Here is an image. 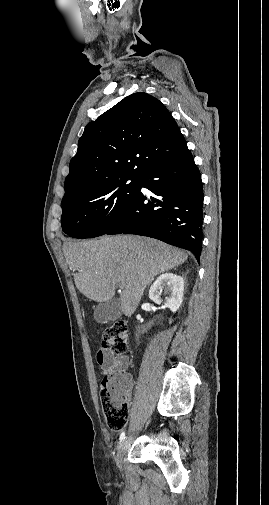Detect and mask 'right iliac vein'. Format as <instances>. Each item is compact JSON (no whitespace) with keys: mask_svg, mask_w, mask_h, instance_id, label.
<instances>
[{"mask_svg":"<svg viewBox=\"0 0 269 505\" xmlns=\"http://www.w3.org/2000/svg\"><path fill=\"white\" fill-rule=\"evenodd\" d=\"M127 447H128V439H124L119 446L116 456V462L118 466H121L122 458L127 450Z\"/></svg>","mask_w":269,"mask_h":505,"instance_id":"1","label":"right iliac vein"}]
</instances>
